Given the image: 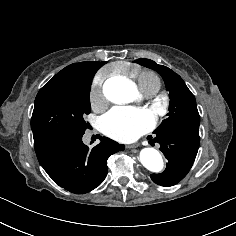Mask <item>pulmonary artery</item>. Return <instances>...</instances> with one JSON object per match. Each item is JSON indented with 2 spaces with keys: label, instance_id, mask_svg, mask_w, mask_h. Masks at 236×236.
<instances>
[{
  "label": "pulmonary artery",
  "instance_id": "obj_1",
  "mask_svg": "<svg viewBox=\"0 0 236 236\" xmlns=\"http://www.w3.org/2000/svg\"><path fill=\"white\" fill-rule=\"evenodd\" d=\"M146 96H151V95H153V94H145Z\"/></svg>",
  "mask_w": 236,
  "mask_h": 236
}]
</instances>
